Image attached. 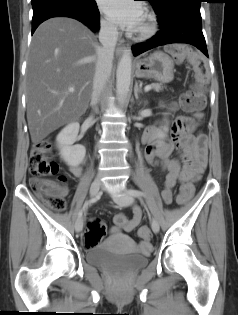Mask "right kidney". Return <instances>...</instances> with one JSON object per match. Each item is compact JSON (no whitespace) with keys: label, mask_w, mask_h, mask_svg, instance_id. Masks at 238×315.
<instances>
[{"label":"right kidney","mask_w":238,"mask_h":315,"mask_svg":"<svg viewBox=\"0 0 238 315\" xmlns=\"http://www.w3.org/2000/svg\"><path fill=\"white\" fill-rule=\"evenodd\" d=\"M79 128V123H71L63 128L56 138L61 158L71 167L78 166L86 153L83 145H74Z\"/></svg>","instance_id":"1"}]
</instances>
